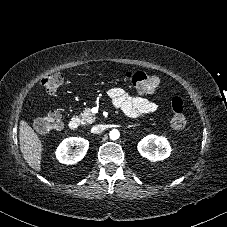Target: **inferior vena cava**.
<instances>
[{
  "instance_id": "obj_1",
  "label": "inferior vena cava",
  "mask_w": 227,
  "mask_h": 227,
  "mask_svg": "<svg viewBox=\"0 0 227 227\" xmlns=\"http://www.w3.org/2000/svg\"><path fill=\"white\" fill-rule=\"evenodd\" d=\"M104 129H105L104 125L98 124L91 128V132L95 133V134H99V133L103 132Z\"/></svg>"
}]
</instances>
